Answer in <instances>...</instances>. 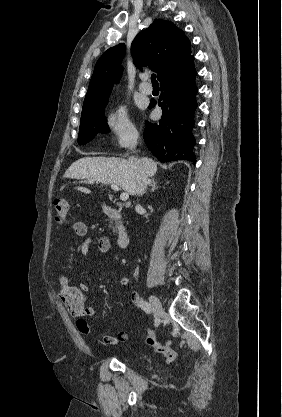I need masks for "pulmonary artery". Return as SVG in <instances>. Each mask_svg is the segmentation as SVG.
<instances>
[{"label":"pulmonary artery","instance_id":"e3ab8cb5","mask_svg":"<svg viewBox=\"0 0 282 417\" xmlns=\"http://www.w3.org/2000/svg\"><path fill=\"white\" fill-rule=\"evenodd\" d=\"M148 80H149L148 76H144L143 80H142V83L139 86L140 92L144 95H149V94L152 93V87L145 85L146 81H148Z\"/></svg>","mask_w":282,"mask_h":417}]
</instances>
